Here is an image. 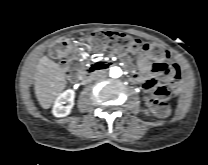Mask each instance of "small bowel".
<instances>
[{"instance_id": "c3829d8e", "label": "small bowel", "mask_w": 208, "mask_h": 165, "mask_svg": "<svg viewBox=\"0 0 208 165\" xmlns=\"http://www.w3.org/2000/svg\"><path fill=\"white\" fill-rule=\"evenodd\" d=\"M153 57L149 51H142L137 57V65L141 73L134 75L133 80L143 84L144 89L154 93V89L158 84L156 78H161L171 87L181 84L184 78V68L177 62L172 60H152ZM79 61L71 58L68 61L67 70L68 78L71 81H77L80 78L78 70Z\"/></svg>"}]
</instances>
